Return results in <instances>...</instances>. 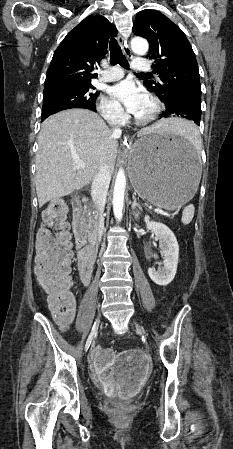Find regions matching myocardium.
I'll return each mask as SVG.
<instances>
[{
    "label": "myocardium",
    "instance_id": "1",
    "mask_svg": "<svg viewBox=\"0 0 233 449\" xmlns=\"http://www.w3.org/2000/svg\"><path fill=\"white\" fill-rule=\"evenodd\" d=\"M147 99L152 104V107H153L152 112L146 117L135 116L134 117L135 122L139 125H146V124L153 122L158 117V115L161 113V111L163 109V105H162L161 101L156 96L149 94V95H147Z\"/></svg>",
    "mask_w": 233,
    "mask_h": 449
}]
</instances>
